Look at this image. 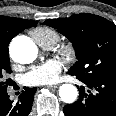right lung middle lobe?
<instances>
[{"mask_svg":"<svg viewBox=\"0 0 116 116\" xmlns=\"http://www.w3.org/2000/svg\"><path fill=\"white\" fill-rule=\"evenodd\" d=\"M11 72L8 51H0V96L7 94L9 79L6 80V75Z\"/></svg>","mask_w":116,"mask_h":116,"instance_id":"right-lung-middle-lobe-1","label":"right lung middle lobe"}]
</instances>
